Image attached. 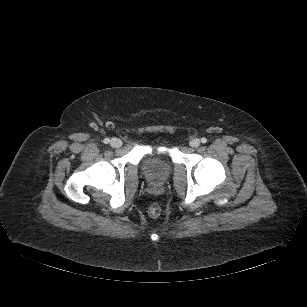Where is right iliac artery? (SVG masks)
Instances as JSON below:
<instances>
[{
	"mask_svg": "<svg viewBox=\"0 0 307 307\" xmlns=\"http://www.w3.org/2000/svg\"><path fill=\"white\" fill-rule=\"evenodd\" d=\"M103 142H104L105 144H108V143L110 142V139H109V138H105V139L103 140Z\"/></svg>",
	"mask_w": 307,
	"mask_h": 307,
	"instance_id": "right-iliac-artery-1",
	"label": "right iliac artery"
}]
</instances>
